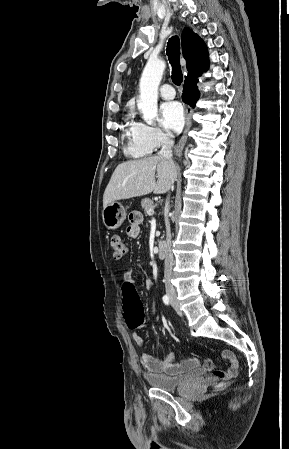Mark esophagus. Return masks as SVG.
<instances>
[{
  "mask_svg": "<svg viewBox=\"0 0 289 449\" xmlns=\"http://www.w3.org/2000/svg\"><path fill=\"white\" fill-rule=\"evenodd\" d=\"M191 116H192V108L190 106H186L185 108V117H186V126L183 132L181 139L175 147V154L180 155L187 141V133L191 127Z\"/></svg>",
  "mask_w": 289,
  "mask_h": 449,
  "instance_id": "obj_1",
  "label": "esophagus"
}]
</instances>
